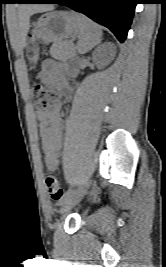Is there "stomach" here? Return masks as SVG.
Here are the masks:
<instances>
[{"instance_id": "stomach-1", "label": "stomach", "mask_w": 166, "mask_h": 267, "mask_svg": "<svg viewBox=\"0 0 166 267\" xmlns=\"http://www.w3.org/2000/svg\"><path fill=\"white\" fill-rule=\"evenodd\" d=\"M79 28L76 14L67 11H51L43 14L35 26L34 35L45 43L57 42L69 38ZM39 59L38 48L35 47L32 63Z\"/></svg>"}]
</instances>
